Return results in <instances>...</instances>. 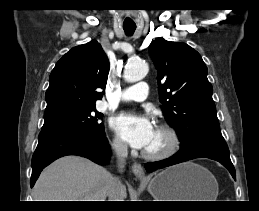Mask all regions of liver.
<instances>
[{
  "label": "liver",
  "instance_id": "obj_1",
  "mask_svg": "<svg viewBox=\"0 0 259 211\" xmlns=\"http://www.w3.org/2000/svg\"><path fill=\"white\" fill-rule=\"evenodd\" d=\"M113 176L102 166L79 156L62 157L39 176L34 201H106ZM127 196L126 187L120 199ZM123 201V200H122Z\"/></svg>",
  "mask_w": 259,
  "mask_h": 211
}]
</instances>
